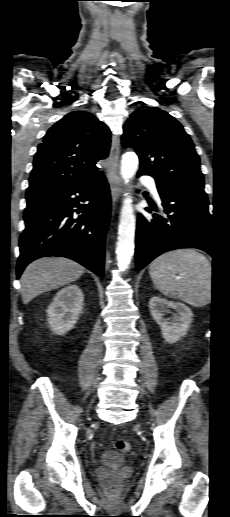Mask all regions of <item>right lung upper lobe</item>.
<instances>
[{
  "label": "right lung upper lobe",
  "mask_w": 230,
  "mask_h": 517,
  "mask_svg": "<svg viewBox=\"0 0 230 517\" xmlns=\"http://www.w3.org/2000/svg\"><path fill=\"white\" fill-rule=\"evenodd\" d=\"M110 131L91 113L74 111L54 124L38 146L26 197L66 189L102 173L98 160L108 156Z\"/></svg>",
  "instance_id": "1"
}]
</instances>
